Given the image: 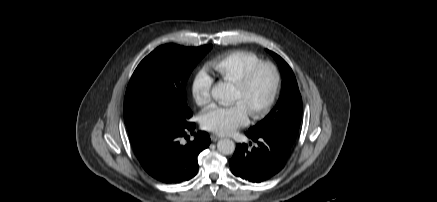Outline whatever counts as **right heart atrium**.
I'll use <instances>...</instances> for the list:
<instances>
[{"mask_svg": "<svg viewBox=\"0 0 437 202\" xmlns=\"http://www.w3.org/2000/svg\"><path fill=\"white\" fill-rule=\"evenodd\" d=\"M214 79L205 68L199 69L191 83V93L195 103L206 106L211 102V89Z\"/></svg>", "mask_w": 437, "mask_h": 202, "instance_id": "right-heart-atrium-1", "label": "right heart atrium"}]
</instances>
